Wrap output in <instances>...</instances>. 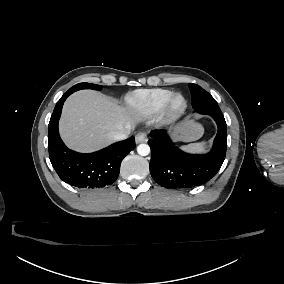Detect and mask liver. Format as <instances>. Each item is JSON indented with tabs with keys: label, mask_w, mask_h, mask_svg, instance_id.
<instances>
[{
	"label": "liver",
	"mask_w": 284,
	"mask_h": 284,
	"mask_svg": "<svg viewBox=\"0 0 284 284\" xmlns=\"http://www.w3.org/2000/svg\"><path fill=\"white\" fill-rule=\"evenodd\" d=\"M131 109L121 108L115 101L101 93L83 90L66 101L61 120V134L66 143L76 149L91 150L114 140V135L127 131ZM184 131V141H195L202 137L203 129L191 120Z\"/></svg>",
	"instance_id": "liver-1"
}]
</instances>
